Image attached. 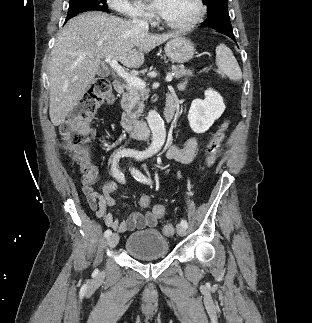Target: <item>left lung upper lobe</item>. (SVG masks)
Segmentation results:
<instances>
[{"label":"left lung upper lobe","mask_w":312,"mask_h":323,"mask_svg":"<svg viewBox=\"0 0 312 323\" xmlns=\"http://www.w3.org/2000/svg\"><path fill=\"white\" fill-rule=\"evenodd\" d=\"M208 7V17L203 22L206 27L218 30H232L228 14L227 0H202Z\"/></svg>","instance_id":"left-lung-upper-lobe-1"}]
</instances>
